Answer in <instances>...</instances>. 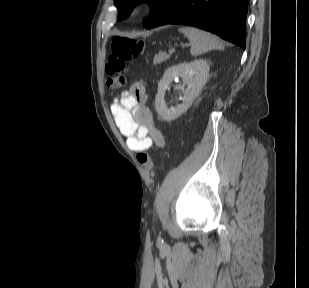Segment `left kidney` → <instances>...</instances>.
Masks as SVG:
<instances>
[{
	"instance_id": "5707ae66",
	"label": "left kidney",
	"mask_w": 309,
	"mask_h": 288,
	"mask_svg": "<svg viewBox=\"0 0 309 288\" xmlns=\"http://www.w3.org/2000/svg\"><path fill=\"white\" fill-rule=\"evenodd\" d=\"M208 76L209 65L204 59L184 62L168 68L158 84V93L155 98L158 115L165 121H172L186 112L206 84ZM178 77L182 78L183 85H178L175 89L182 90L183 102L168 109L164 100L165 92L172 81ZM185 86H187L186 89Z\"/></svg>"
}]
</instances>
